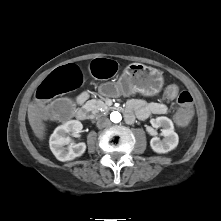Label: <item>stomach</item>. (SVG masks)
<instances>
[{"label":"stomach","instance_id":"stomach-1","mask_svg":"<svg viewBox=\"0 0 221 221\" xmlns=\"http://www.w3.org/2000/svg\"><path fill=\"white\" fill-rule=\"evenodd\" d=\"M115 96L142 94L153 96L163 87L162 72L141 63L129 64L118 78L111 82Z\"/></svg>","mask_w":221,"mask_h":221}]
</instances>
